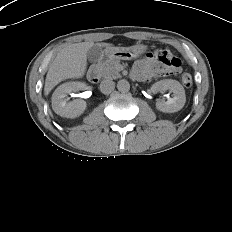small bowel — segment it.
Instances as JSON below:
<instances>
[{"label": "small bowel", "instance_id": "1", "mask_svg": "<svg viewBox=\"0 0 232 232\" xmlns=\"http://www.w3.org/2000/svg\"><path fill=\"white\" fill-rule=\"evenodd\" d=\"M127 75L133 81L144 84L147 80L151 83L157 82L160 75L172 79L175 77L176 72L164 65H155L151 58L146 57L138 59L134 64V68L128 70Z\"/></svg>", "mask_w": 232, "mask_h": 232}]
</instances>
